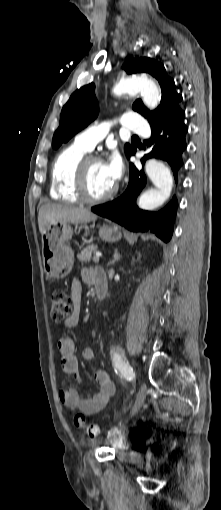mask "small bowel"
<instances>
[{
  "instance_id": "small-bowel-1",
  "label": "small bowel",
  "mask_w": 221,
  "mask_h": 510,
  "mask_svg": "<svg viewBox=\"0 0 221 510\" xmlns=\"http://www.w3.org/2000/svg\"><path fill=\"white\" fill-rule=\"evenodd\" d=\"M94 269H84L82 279L87 284H94ZM71 296L73 299V312L64 320V326L75 327L79 322L82 284L75 280L71 286ZM58 349L61 354L60 366L62 371L80 381L79 365L75 354V342L70 336H62L58 341ZM83 357L91 360L94 357V348L86 346L83 350ZM94 379L99 384V390L94 393H88L81 397L75 389H63L58 393L60 402L69 410H79L85 415H93L104 409L115 394L116 387L110 376L102 370L94 373Z\"/></svg>"
}]
</instances>
